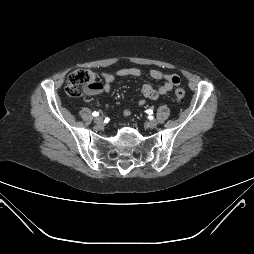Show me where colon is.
<instances>
[{
  "label": "colon",
  "instance_id": "5ec220e1",
  "mask_svg": "<svg viewBox=\"0 0 254 254\" xmlns=\"http://www.w3.org/2000/svg\"><path fill=\"white\" fill-rule=\"evenodd\" d=\"M98 86L99 83L94 72L90 70H75L67 78L66 93L70 97L76 98ZM174 97L177 101H182L185 97V91L177 88L174 92Z\"/></svg>",
  "mask_w": 254,
  "mask_h": 254
}]
</instances>
